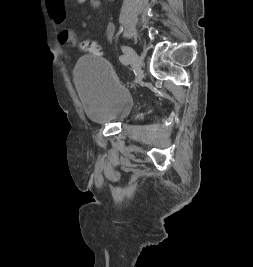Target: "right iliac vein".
Masks as SVG:
<instances>
[{
  "label": "right iliac vein",
  "instance_id": "63e3f726",
  "mask_svg": "<svg viewBox=\"0 0 253 267\" xmlns=\"http://www.w3.org/2000/svg\"><path fill=\"white\" fill-rule=\"evenodd\" d=\"M121 49L123 53L131 60L135 67H139L141 65V59L139 58L138 54L133 50V48L122 45Z\"/></svg>",
  "mask_w": 253,
  "mask_h": 267
}]
</instances>
